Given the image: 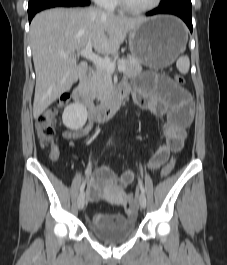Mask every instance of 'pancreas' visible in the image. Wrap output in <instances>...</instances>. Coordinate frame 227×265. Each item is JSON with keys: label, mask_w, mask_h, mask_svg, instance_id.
I'll return each instance as SVG.
<instances>
[{"label": "pancreas", "mask_w": 227, "mask_h": 265, "mask_svg": "<svg viewBox=\"0 0 227 265\" xmlns=\"http://www.w3.org/2000/svg\"><path fill=\"white\" fill-rule=\"evenodd\" d=\"M111 62L124 65L126 70L123 73L127 77L136 76L142 71L140 62L133 56H127L119 60L113 59ZM89 89L93 97L101 101L105 100L114 89L112 73L104 68L96 67L89 81Z\"/></svg>", "instance_id": "1"}]
</instances>
